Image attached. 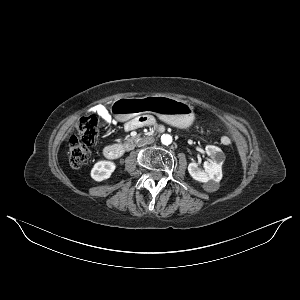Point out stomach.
I'll use <instances>...</instances> for the list:
<instances>
[{"instance_id":"obj_1","label":"stomach","mask_w":300,"mask_h":300,"mask_svg":"<svg viewBox=\"0 0 300 300\" xmlns=\"http://www.w3.org/2000/svg\"><path fill=\"white\" fill-rule=\"evenodd\" d=\"M111 112L121 122L143 113H153L162 121L182 128L189 127L194 121L190 104L161 95L118 99L112 103Z\"/></svg>"}]
</instances>
